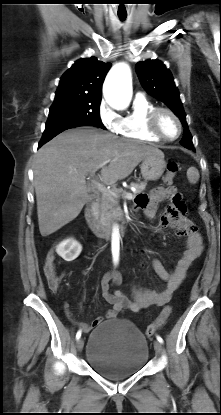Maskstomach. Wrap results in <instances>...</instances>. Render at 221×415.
Wrapping results in <instances>:
<instances>
[{
	"label": "stomach",
	"mask_w": 221,
	"mask_h": 415,
	"mask_svg": "<svg viewBox=\"0 0 221 415\" xmlns=\"http://www.w3.org/2000/svg\"><path fill=\"white\" fill-rule=\"evenodd\" d=\"M166 162L163 154H153L142 160L141 174L145 180L156 181L164 173Z\"/></svg>",
	"instance_id": "1"
}]
</instances>
